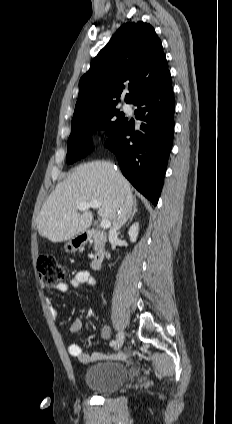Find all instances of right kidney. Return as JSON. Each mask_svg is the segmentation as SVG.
I'll return each instance as SVG.
<instances>
[{"label": "right kidney", "instance_id": "ca27d5eb", "mask_svg": "<svg viewBox=\"0 0 232 424\" xmlns=\"http://www.w3.org/2000/svg\"><path fill=\"white\" fill-rule=\"evenodd\" d=\"M139 232V224L134 223L128 230L129 238L132 243L136 242Z\"/></svg>", "mask_w": 232, "mask_h": 424}]
</instances>
